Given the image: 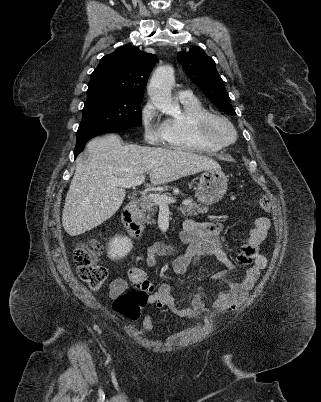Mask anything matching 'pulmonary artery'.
I'll use <instances>...</instances> for the list:
<instances>
[{
    "mask_svg": "<svg viewBox=\"0 0 321 402\" xmlns=\"http://www.w3.org/2000/svg\"><path fill=\"white\" fill-rule=\"evenodd\" d=\"M176 94L180 100H186L193 97L191 92L188 90H178Z\"/></svg>",
    "mask_w": 321,
    "mask_h": 402,
    "instance_id": "obj_1",
    "label": "pulmonary artery"
}]
</instances>
